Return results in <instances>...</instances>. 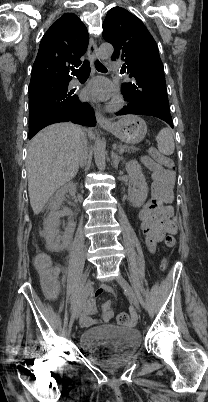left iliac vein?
Returning <instances> with one entry per match:
<instances>
[{
	"label": "left iliac vein",
	"instance_id": "1",
	"mask_svg": "<svg viewBox=\"0 0 208 402\" xmlns=\"http://www.w3.org/2000/svg\"><path fill=\"white\" fill-rule=\"evenodd\" d=\"M116 281L120 284V286L123 288L125 294L129 298L131 304L139 311L140 310V305L137 299L136 294L134 293L132 287L129 285V283L124 279L122 276H118L116 278Z\"/></svg>",
	"mask_w": 208,
	"mask_h": 402
}]
</instances>
